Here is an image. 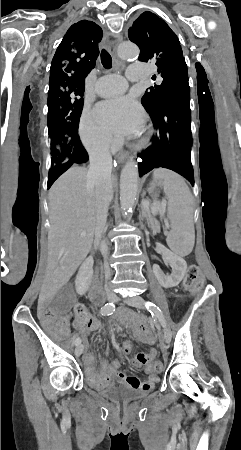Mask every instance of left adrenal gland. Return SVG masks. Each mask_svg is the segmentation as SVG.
<instances>
[{"label": "left adrenal gland", "instance_id": "left-adrenal-gland-1", "mask_svg": "<svg viewBox=\"0 0 241 450\" xmlns=\"http://www.w3.org/2000/svg\"><path fill=\"white\" fill-rule=\"evenodd\" d=\"M142 216H143V218H146V216H145V208H142ZM148 226H150V224H148Z\"/></svg>", "mask_w": 241, "mask_h": 450}]
</instances>
